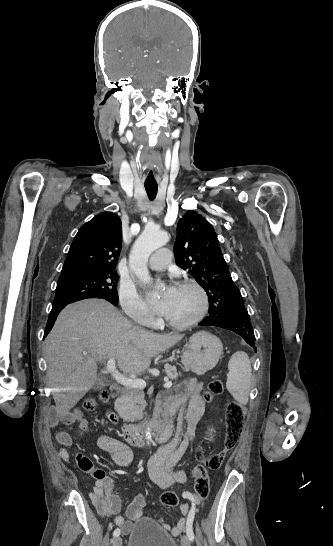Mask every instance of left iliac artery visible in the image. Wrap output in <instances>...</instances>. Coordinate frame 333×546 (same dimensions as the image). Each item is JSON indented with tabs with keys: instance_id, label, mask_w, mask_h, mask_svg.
<instances>
[{
	"instance_id": "1",
	"label": "left iliac artery",
	"mask_w": 333,
	"mask_h": 546,
	"mask_svg": "<svg viewBox=\"0 0 333 546\" xmlns=\"http://www.w3.org/2000/svg\"><path fill=\"white\" fill-rule=\"evenodd\" d=\"M193 519H194V516H190L187 520V527H186V533H187V536L189 537V539L191 541L194 540V533H193V528H192V525H193Z\"/></svg>"
}]
</instances>
